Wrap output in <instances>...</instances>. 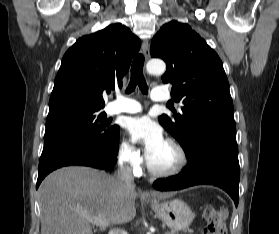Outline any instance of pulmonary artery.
Segmentation results:
<instances>
[{
  "label": "pulmonary artery",
  "instance_id": "e3ab8cb5",
  "mask_svg": "<svg viewBox=\"0 0 279 234\" xmlns=\"http://www.w3.org/2000/svg\"><path fill=\"white\" fill-rule=\"evenodd\" d=\"M170 98V95L166 91H161L156 89L151 94V99L156 102L166 101ZM142 110L141 104L130 98L120 97L107 106V112L110 115L127 113V114H134L138 113Z\"/></svg>",
  "mask_w": 279,
  "mask_h": 234
}]
</instances>
